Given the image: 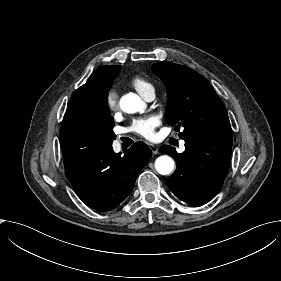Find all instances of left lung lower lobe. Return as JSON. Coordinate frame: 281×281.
Instances as JSON below:
<instances>
[{
    "label": "left lung lower lobe",
    "mask_w": 281,
    "mask_h": 281,
    "mask_svg": "<svg viewBox=\"0 0 281 281\" xmlns=\"http://www.w3.org/2000/svg\"><path fill=\"white\" fill-rule=\"evenodd\" d=\"M185 147L182 154L169 145L159 149L177 162L167 186L180 200L201 206L222 187L231 161L232 136L185 139Z\"/></svg>",
    "instance_id": "obj_1"
}]
</instances>
